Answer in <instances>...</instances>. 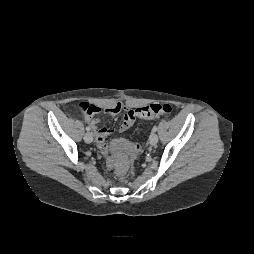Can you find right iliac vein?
I'll list each match as a JSON object with an SVG mask.
<instances>
[{
	"label": "right iliac vein",
	"mask_w": 254,
	"mask_h": 254,
	"mask_svg": "<svg viewBox=\"0 0 254 254\" xmlns=\"http://www.w3.org/2000/svg\"><path fill=\"white\" fill-rule=\"evenodd\" d=\"M84 140H85L86 143H91V142L93 141L92 133L87 132V133L84 135Z\"/></svg>",
	"instance_id": "obj_1"
}]
</instances>
